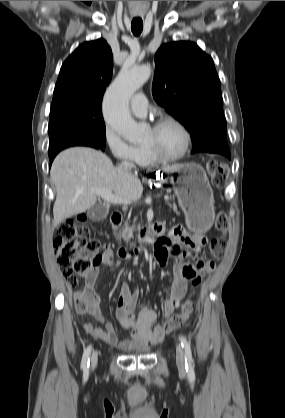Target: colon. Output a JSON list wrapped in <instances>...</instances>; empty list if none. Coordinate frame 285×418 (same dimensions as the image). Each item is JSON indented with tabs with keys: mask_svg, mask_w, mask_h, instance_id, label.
Listing matches in <instances>:
<instances>
[{
	"mask_svg": "<svg viewBox=\"0 0 285 418\" xmlns=\"http://www.w3.org/2000/svg\"><path fill=\"white\" fill-rule=\"evenodd\" d=\"M208 171L211 181L214 185H223L226 179V173L221 164L211 160L208 163ZM86 216L80 215L78 219L64 220L58 228V234L54 239L53 245L57 253L58 265L71 285L76 286L81 279L85 278L97 259H91L90 254L98 251L96 241L89 239V228L85 223ZM215 227L220 233L219 236L212 239L209 245V253L213 258L222 257L227 249L226 230L228 221L223 213H219ZM177 234L184 233V230L176 229ZM190 247H194V243H189ZM154 255L158 262L164 261L168 256L167 249L162 245L161 241H157L154 245ZM214 266L209 267L211 271ZM192 310V303L189 299L185 300L179 313L173 314L158 331L160 333H169L182 326L188 318Z\"/></svg>",
	"mask_w": 285,
	"mask_h": 418,
	"instance_id": "obj_1",
	"label": "colon"
}]
</instances>
